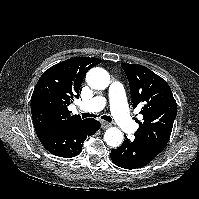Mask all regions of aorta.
<instances>
[{
    "label": "aorta",
    "instance_id": "762f6f07",
    "mask_svg": "<svg viewBox=\"0 0 199 199\" xmlns=\"http://www.w3.org/2000/svg\"><path fill=\"white\" fill-rule=\"evenodd\" d=\"M86 81L91 88L104 90L108 87L110 83V76L105 69L94 67L88 71L86 75ZM122 140L123 134L116 127H111L107 129L104 134V141L111 147L120 146Z\"/></svg>",
    "mask_w": 199,
    "mask_h": 199
}]
</instances>
